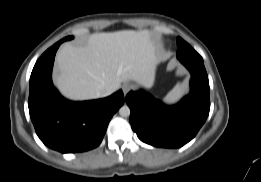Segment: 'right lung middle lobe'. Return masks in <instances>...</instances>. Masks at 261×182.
Masks as SVG:
<instances>
[{
  "instance_id": "dd1d6c3e",
  "label": "right lung middle lobe",
  "mask_w": 261,
  "mask_h": 182,
  "mask_svg": "<svg viewBox=\"0 0 261 182\" xmlns=\"http://www.w3.org/2000/svg\"><path fill=\"white\" fill-rule=\"evenodd\" d=\"M72 38H73L72 36H68V37L63 38L62 41L64 42V41H67V40H71Z\"/></svg>"
}]
</instances>
